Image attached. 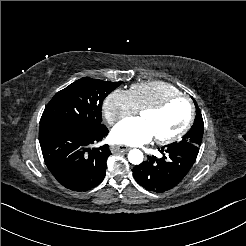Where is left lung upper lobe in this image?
<instances>
[{
    "label": "left lung upper lobe",
    "instance_id": "obj_1",
    "mask_svg": "<svg viewBox=\"0 0 246 246\" xmlns=\"http://www.w3.org/2000/svg\"><path fill=\"white\" fill-rule=\"evenodd\" d=\"M193 101L196 107V118H195L194 124L191 127L190 131L187 134H185L182 140L178 143H191L199 147L202 142L204 123H203V118H202L200 109L197 105V102L194 99Z\"/></svg>",
    "mask_w": 246,
    "mask_h": 246
}]
</instances>
